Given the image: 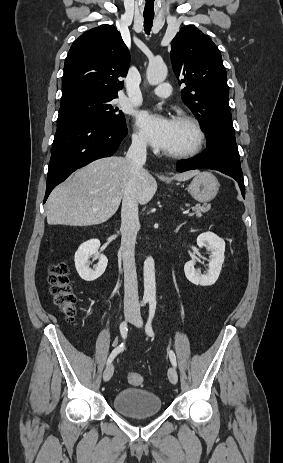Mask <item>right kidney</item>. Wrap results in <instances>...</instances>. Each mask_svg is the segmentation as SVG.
<instances>
[{
    "label": "right kidney",
    "instance_id": "right-kidney-1",
    "mask_svg": "<svg viewBox=\"0 0 283 463\" xmlns=\"http://www.w3.org/2000/svg\"><path fill=\"white\" fill-rule=\"evenodd\" d=\"M99 247L100 241L98 239H91L82 243L75 253L76 270L79 276L85 281H94L105 272L108 259L105 255L99 254ZM92 255H94L95 259L99 260L94 270L89 267V258Z\"/></svg>",
    "mask_w": 283,
    "mask_h": 463
}]
</instances>
